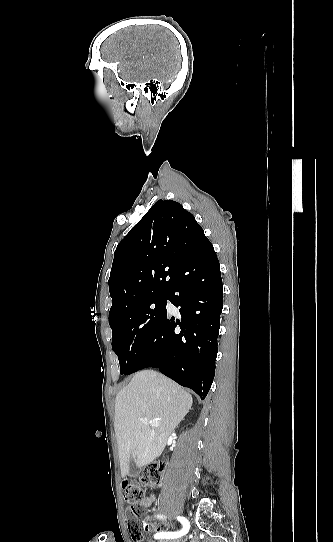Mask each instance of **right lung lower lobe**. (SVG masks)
<instances>
[{"label": "right lung lower lobe", "mask_w": 333, "mask_h": 542, "mask_svg": "<svg viewBox=\"0 0 333 542\" xmlns=\"http://www.w3.org/2000/svg\"><path fill=\"white\" fill-rule=\"evenodd\" d=\"M177 265L182 277L167 300L179 308L181 319L166 315L161 320L152 342L129 374L146 367L158 368L204 399L214 379L218 352L223 307L220 265L209 240L181 250Z\"/></svg>", "instance_id": "right-lung-lower-lobe-1"}]
</instances>
